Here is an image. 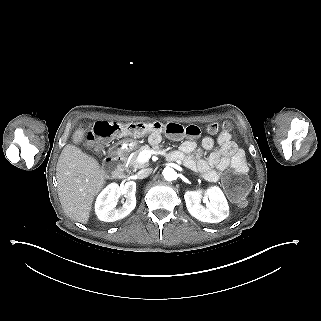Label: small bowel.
Instances as JSON below:
<instances>
[{
  "instance_id": "1",
  "label": "small bowel",
  "mask_w": 321,
  "mask_h": 321,
  "mask_svg": "<svg viewBox=\"0 0 321 321\" xmlns=\"http://www.w3.org/2000/svg\"><path fill=\"white\" fill-rule=\"evenodd\" d=\"M152 141H158V135H151ZM217 144L218 149L203 158L204 150H211ZM175 159L181 160L189 169L196 171L209 182L219 180L221 173L231 167L245 172L247 163L242 149L232 139L229 132L220 133L216 140L206 136L201 141V148L193 140H185L181 143L179 151L172 154Z\"/></svg>"
}]
</instances>
